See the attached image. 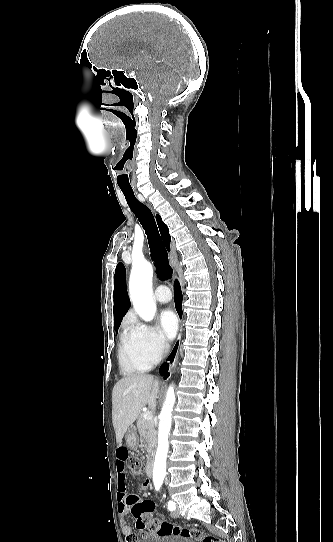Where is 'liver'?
I'll return each mask as SVG.
<instances>
[{"label":"liver","instance_id":"1","mask_svg":"<svg viewBox=\"0 0 333 542\" xmlns=\"http://www.w3.org/2000/svg\"><path fill=\"white\" fill-rule=\"evenodd\" d=\"M160 386L158 380L148 374L123 376L113 388L112 420L116 442L120 444L129 426L137 420L142 408L156 410Z\"/></svg>","mask_w":333,"mask_h":542}]
</instances>
